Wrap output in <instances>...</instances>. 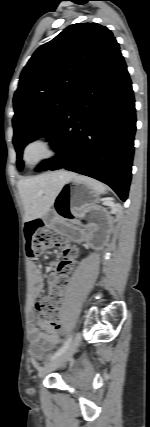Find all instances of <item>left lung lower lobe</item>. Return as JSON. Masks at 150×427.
<instances>
[{
    "label": "left lung lower lobe",
    "mask_w": 150,
    "mask_h": 427,
    "mask_svg": "<svg viewBox=\"0 0 150 427\" xmlns=\"http://www.w3.org/2000/svg\"><path fill=\"white\" fill-rule=\"evenodd\" d=\"M131 80L120 50L87 81L51 134L56 156L40 170L64 168L109 185L125 201L131 182L136 115Z\"/></svg>",
    "instance_id": "obj_1"
}]
</instances>
